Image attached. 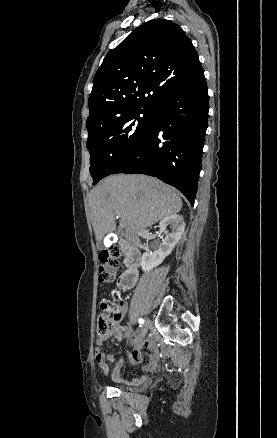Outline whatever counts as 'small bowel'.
I'll use <instances>...</instances> for the list:
<instances>
[{"label":"small bowel","instance_id":"c3829d8e","mask_svg":"<svg viewBox=\"0 0 277 438\" xmlns=\"http://www.w3.org/2000/svg\"><path fill=\"white\" fill-rule=\"evenodd\" d=\"M120 307H121L122 313L126 312V310H127L126 303H121ZM130 331H131V328L129 326L118 325V326H115L113 328V330L111 331V333L108 336L99 335L97 338V342L99 344H101L108 338H110L112 341H116V340L120 339L123 335L130 333ZM141 345H142V343H140V342L135 344L133 351L131 352V354L129 356L130 361L132 363H138L141 361V359H142V355L140 353ZM144 346L149 348L152 351V354H151L152 363L146 364L143 366V373L140 375L139 378L131 380L129 382L131 385L143 384L147 379L145 372L156 367V362L158 360V353H157L156 345H154L153 343H145ZM93 353H94V355L97 356L96 360L98 361V366L104 367L105 361L103 360V357L101 356V353H102L101 348H99V347L94 348ZM105 353H108V350H105ZM120 366H121V362L117 364V366L114 370V373H113V377H114L116 382L122 384V383H124V380L119 376Z\"/></svg>","mask_w":277,"mask_h":438}]
</instances>
